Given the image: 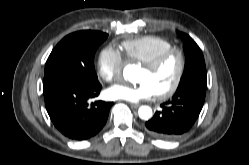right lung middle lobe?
<instances>
[{
	"instance_id": "1",
	"label": "right lung middle lobe",
	"mask_w": 249,
	"mask_h": 165,
	"mask_svg": "<svg viewBox=\"0 0 249 165\" xmlns=\"http://www.w3.org/2000/svg\"><path fill=\"white\" fill-rule=\"evenodd\" d=\"M106 38V33L91 30L67 35L48 57L44 77L56 76L90 86L98 84L94 55Z\"/></svg>"
}]
</instances>
